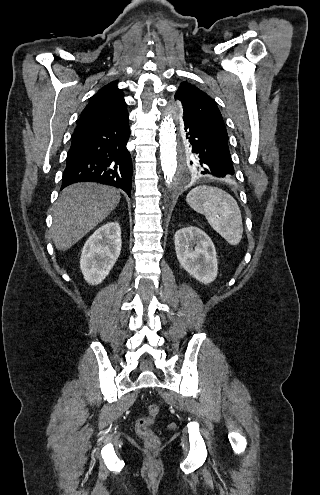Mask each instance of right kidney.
I'll return each instance as SVG.
<instances>
[{
  "mask_svg": "<svg viewBox=\"0 0 320 495\" xmlns=\"http://www.w3.org/2000/svg\"><path fill=\"white\" fill-rule=\"evenodd\" d=\"M121 244L118 222H109L90 236L80 258V268L87 283L97 285L106 278L120 255Z\"/></svg>",
  "mask_w": 320,
  "mask_h": 495,
  "instance_id": "obj_1",
  "label": "right kidney"
}]
</instances>
